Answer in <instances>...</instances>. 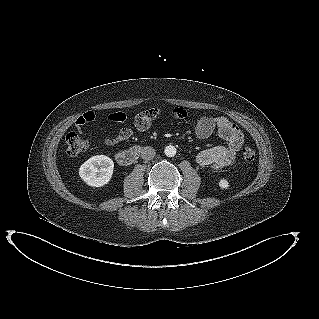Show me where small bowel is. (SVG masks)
I'll return each mask as SVG.
<instances>
[{
	"instance_id": "obj_1",
	"label": "small bowel",
	"mask_w": 319,
	"mask_h": 319,
	"mask_svg": "<svg viewBox=\"0 0 319 319\" xmlns=\"http://www.w3.org/2000/svg\"><path fill=\"white\" fill-rule=\"evenodd\" d=\"M169 114L175 119H183L187 116V111L183 107H174L170 109ZM160 115L161 110L159 108H150L139 113L134 120L135 128L138 131L150 129L153 121ZM93 119L94 115L92 112L83 114L76 121V128L81 130L86 123ZM214 133L224 140L226 145L201 151L197 154L195 161L200 166H210L218 170L227 169L234 164L237 153L243 145L244 135L234 123L223 116H203L197 121L195 135L198 138L205 139ZM132 135L133 130L124 127L115 136L107 137L106 143L108 145H115L128 140Z\"/></svg>"
}]
</instances>
